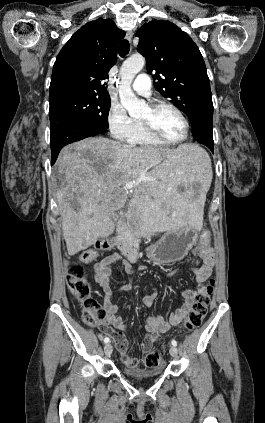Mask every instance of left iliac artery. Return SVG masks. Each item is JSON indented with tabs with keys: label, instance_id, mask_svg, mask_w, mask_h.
Returning a JSON list of instances; mask_svg holds the SVG:
<instances>
[{
	"label": "left iliac artery",
	"instance_id": "44dca946",
	"mask_svg": "<svg viewBox=\"0 0 265 423\" xmlns=\"http://www.w3.org/2000/svg\"><path fill=\"white\" fill-rule=\"evenodd\" d=\"M171 344H172L173 346H177V342H176V340H174V339H173V340L171 341Z\"/></svg>",
	"mask_w": 265,
	"mask_h": 423
}]
</instances>
